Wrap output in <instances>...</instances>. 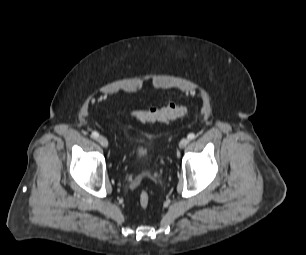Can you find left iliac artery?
I'll use <instances>...</instances> for the list:
<instances>
[{
	"mask_svg": "<svg viewBox=\"0 0 306 255\" xmlns=\"http://www.w3.org/2000/svg\"><path fill=\"white\" fill-rule=\"evenodd\" d=\"M196 138V135L194 134V133H190L189 135H188V139H190V140H193V139H195Z\"/></svg>",
	"mask_w": 306,
	"mask_h": 255,
	"instance_id": "obj_1",
	"label": "left iliac artery"
}]
</instances>
